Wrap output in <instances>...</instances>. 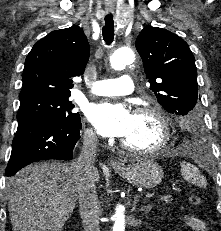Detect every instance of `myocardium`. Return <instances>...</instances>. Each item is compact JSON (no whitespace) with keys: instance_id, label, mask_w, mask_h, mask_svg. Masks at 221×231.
I'll return each instance as SVG.
<instances>
[{"instance_id":"1","label":"myocardium","mask_w":221,"mask_h":231,"mask_svg":"<svg viewBox=\"0 0 221 231\" xmlns=\"http://www.w3.org/2000/svg\"><path fill=\"white\" fill-rule=\"evenodd\" d=\"M135 115H150L158 122L161 128V138L153 147L149 148H140L130 145L124 140H120V145L123 149L135 153V154H143V155H154L162 152L170 145L172 139V131L171 124L168 116L162 111L160 108L152 105H143L139 106L134 111Z\"/></svg>"}]
</instances>
